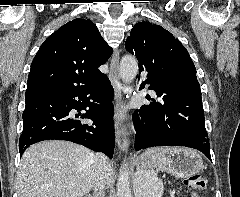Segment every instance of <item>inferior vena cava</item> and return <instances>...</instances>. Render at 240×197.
<instances>
[{"label": "inferior vena cava", "instance_id": "inferior-vena-cava-1", "mask_svg": "<svg viewBox=\"0 0 240 197\" xmlns=\"http://www.w3.org/2000/svg\"><path fill=\"white\" fill-rule=\"evenodd\" d=\"M94 161L96 166L94 178L92 181L94 196L104 197V190H105V186L108 178L107 157L102 153H97L94 155Z\"/></svg>", "mask_w": 240, "mask_h": 197}]
</instances>
